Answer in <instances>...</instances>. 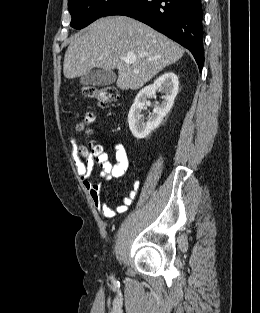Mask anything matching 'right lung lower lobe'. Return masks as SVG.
<instances>
[{
    "mask_svg": "<svg viewBox=\"0 0 260 313\" xmlns=\"http://www.w3.org/2000/svg\"><path fill=\"white\" fill-rule=\"evenodd\" d=\"M135 18L178 42L204 64L201 0H120L104 16ZM103 16V17H104Z\"/></svg>",
    "mask_w": 260,
    "mask_h": 313,
    "instance_id": "1",
    "label": "right lung lower lobe"
}]
</instances>
